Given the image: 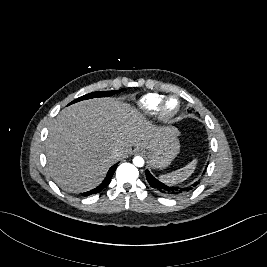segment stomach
Listing matches in <instances>:
<instances>
[{"label": "stomach", "mask_w": 267, "mask_h": 267, "mask_svg": "<svg viewBox=\"0 0 267 267\" xmlns=\"http://www.w3.org/2000/svg\"><path fill=\"white\" fill-rule=\"evenodd\" d=\"M149 158V164L153 168H166L178 155L180 144L175 129L168 128L167 134L160 143L153 148H144Z\"/></svg>", "instance_id": "stomach-1"}]
</instances>
